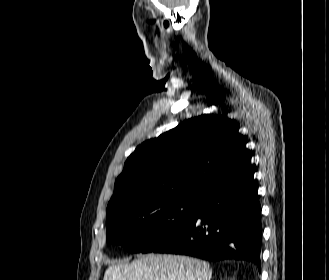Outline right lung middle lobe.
<instances>
[{"label":"right lung middle lobe","mask_w":329,"mask_h":280,"mask_svg":"<svg viewBox=\"0 0 329 280\" xmlns=\"http://www.w3.org/2000/svg\"><path fill=\"white\" fill-rule=\"evenodd\" d=\"M199 197L148 196L107 208V241L129 252H152L171 239L198 208Z\"/></svg>","instance_id":"right-lung-middle-lobe-1"}]
</instances>
